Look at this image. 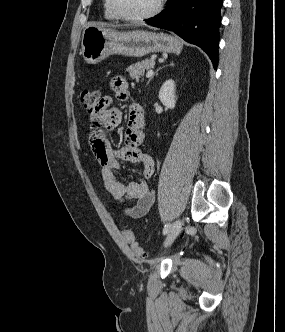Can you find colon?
Returning <instances> with one entry per match:
<instances>
[{
  "instance_id": "obj_1",
  "label": "colon",
  "mask_w": 285,
  "mask_h": 332,
  "mask_svg": "<svg viewBox=\"0 0 285 332\" xmlns=\"http://www.w3.org/2000/svg\"><path fill=\"white\" fill-rule=\"evenodd\" d=\"M98 96L101 94L96 90H84L81 92L79 96V102L83 108V110L89 115V111H92V107H94L95 103H97ZM123 238L127 242V244L132 248V250L138 256H144V251L139 246L136 241L135 235L132 230L124 229L122 231Z\"/></svg>"
}]
</instances>
